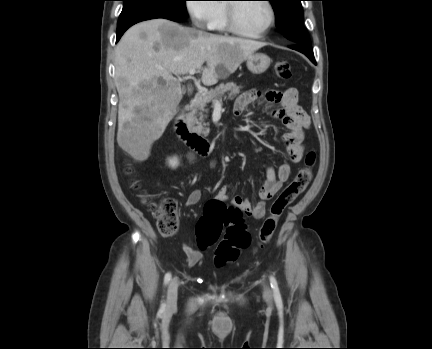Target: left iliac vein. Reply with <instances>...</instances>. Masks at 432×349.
Segmentation results:
<instances>
[{"label": "left iliac vein", "instance_id": "4c4485c4", "mask_svg": "<svg viewBox=\"0 0 432 349\" xmlns=\"http://www.w3.org/2000/svg\"><path fill=\"white\" fill-rule=\"evenodd\" d=\"M263 298L268 304H272L273 302L272 290L266 283H264Z\"/></svg>", "mask_w": 432, "mask_h": 349}]
</instances>
